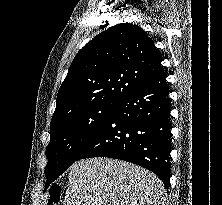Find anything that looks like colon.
<instances>
[{
    "label": "colon",
    "mask_w": 222,
    "mask_h": 205,
    "mask_svg": "<svg viewBox=\"0 0 222 205\" xmlns=\"http://www.w3.org/2000/svg\"><path fill=\"white\" fill-rule=\"evenodd\" d=\"M62 197V188L56 185L52 188L50 196L46 202V205H59Z\"/></svg>",
    "instance_id": "obj_1"
}]
</instances>
